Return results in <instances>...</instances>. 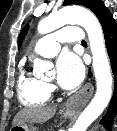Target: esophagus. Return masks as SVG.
Returning <instances> with one entry per match:
<instances>
[{
	"instance_id": "34e87169",
	"label": "esophagus",
	"mask_w": 117,
	"mask_h": 131,
	"mask_svg": "<svg viewBox=\"0 0 117 131\" xmlns=\"http://www.w3.org/2000/svg\"><path fill=\"white\" fill-rule=\"evenodd\" d=\"M92 92H93V86L90 83L86 84L78 94L71 97L65 103V109L68 111H75V109L77 108L78 100L80 98L86 99V98L90 97Z\"/></svg>"
}]
</instances>
